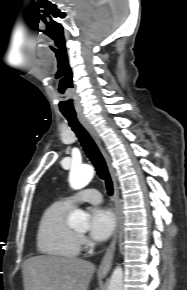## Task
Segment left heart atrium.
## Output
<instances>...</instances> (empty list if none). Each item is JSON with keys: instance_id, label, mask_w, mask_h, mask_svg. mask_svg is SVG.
<instances>
[{"instance_id": "1", "label": "left heart atrium", "mask_w": 187, "mask_h": 290, "mask_svg": "<svg viewBox=\"0 0 187 290\" xmlns=\"http://www.w3.org/2000/svg\"><path fill=\"white\" fill-rule=\"evenodd\" d=\"M116 227L113 212L106 208H95L90 217V235L96 241L108 239Z\"/></svg>"}]
</instances>
